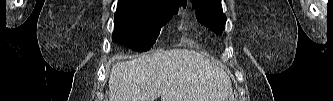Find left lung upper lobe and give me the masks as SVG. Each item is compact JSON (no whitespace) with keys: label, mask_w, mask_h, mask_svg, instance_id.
<instances>
[{"label":"left lung upper lobe","mask_w":333,"mask_h":101,"mask_svg":"<svg viewBox=\"0 0 333 101\" xmlns=\"http://www.w3.org/2000/svg\"><path fill=\"white\" fill-rule=\"evenodd\" d=\"M197 20L221 34L225 29L226 16L222 12L221 0H191Z\"/></svg>","instance_id":"left-lung-upper-lobe-1"}]
</instances>
